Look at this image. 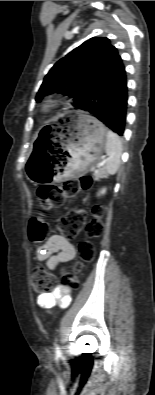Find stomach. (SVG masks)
I'll list each match as a JSON object with an SVG mask.
<instances>
[{
	"label": "stomach",
	"mask_w": 155,
	"mask_h": 395,
	"mask_svg": "<svg viewBox=\"0 0 155 395\" xmlns=\"http://www.w3.org/2000/svg\"><path fill=\"white\" fill-rule=\"evenodd\" d=\"M69 121L58 136L57 146L35 147L25 167L32 183H46L80 175L96 163L107 142L104 125L84 111L66 114Z\"/></svg>",
	"instance_id": "stomach-1"
}]
</instances>
